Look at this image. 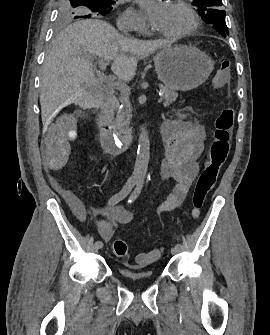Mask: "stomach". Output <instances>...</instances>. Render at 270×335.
Instances as JSON below:
<instances>
[{
  "label": "stomach",
  "mask_w": 270,
  "mask_h": 335,
  "mask_svg": "<svg viewBox=\"0 0 270 335\" xmlns=\"http://www.w3.org/2000/svg\"><path fill=\"white\" fill-rule=\"evenodd\" d=\"M158 80L170 90H194L206 82L214 62L195 46L164 48L153 58Z\"/></svg>",
  "instance_id": "obj_1"
}]
</instances>
